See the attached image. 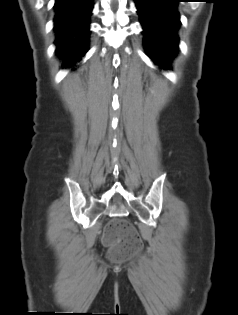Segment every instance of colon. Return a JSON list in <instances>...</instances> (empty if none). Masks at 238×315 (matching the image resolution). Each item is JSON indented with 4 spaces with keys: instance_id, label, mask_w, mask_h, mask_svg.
<instances>
[{
    "instance_id": "5ec220e1",
    "label": "colon",
    "mask_w": 238,
    "mask_h": 315,
    "mask_svg": "<svg viewBox=\"0 0 238 315\" xmlns=\"http://www.w3.org/2000/svg\"><path fill=\"white\" fill-rule=\"evenodd\" d=\"M103 240L113 248L114 256L119 259L133 255L141 246L137 230L123 219H115L107 225Z\"/></svg>"
}]
</instances>
